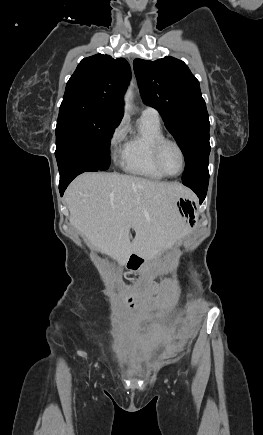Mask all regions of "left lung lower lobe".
<instances>
[{
    "label": "left lung lower lobe",
    "instance_id": "1",
    "mask_svg": "<svg viewBox=\"0 0 263 435\" xmlns=\"http://www.w3.org/2000/svg\"><path fill=\"white\" fill-rule=\"evenodd\" d=\"M183 184L191 188L199 197L200 204L204 201L208 182H209V172L208 169L201 171L191 177L182 180Z\"/></svg>",
    "mask_w": 263,
    "mask_h": 435
}]
</instances>
